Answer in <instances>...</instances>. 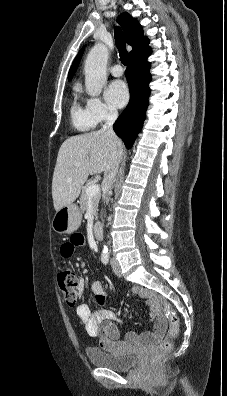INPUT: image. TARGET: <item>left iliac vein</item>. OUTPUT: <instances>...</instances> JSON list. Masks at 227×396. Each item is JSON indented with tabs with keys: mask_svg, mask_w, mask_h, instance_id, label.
Listing matches in <instances>:
<instances>
[{
	"mask_svg": "<svg viewBox=\"0 0 227 396\" xmlns=\"http://www.w3.org/2000/svg\"><path fill=\"white\" fill-rule=\"evenodd\" d=\"M111 265H112V268H113L114 273H115L118 277H121V276H122V272H121V268H120V265H119L118 261L115 260V259H112V260H111Z\"/></svg>",
	"mask_w": 227,
	"mask_h": 396,
	"instance_id": "4c4485c4",
	"label": "left iliac vein"
}]
</instances>
